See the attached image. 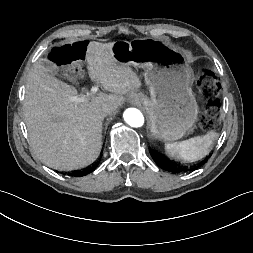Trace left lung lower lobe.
<instances>
[{
    "instance_id": "1",
    "label": "left lung lower lobe",
    "mask_w": 253,
    "mask_h": 253,
    "mask_svg": "<svg viewBox=\"0 0 253 253\" xmlns=\"http://www.w3.org/2000/svg\"><path fill=\"white\" fill-rule=\"evenodd\" d=\"M151 155H152L154 161L156 162V164H157L160 168H162V169H164V170H167V171L173 172V173H180V172L185 171V168H182V167H180V166H177L176 164L170 162V161H169L168 159H166V158H163V157H161V156H159V155H157V154H155V153H151ZM203 164H204V162H201V163L198 165V167L201 166V165H203ZM193 169H195V168H191L190 170H193Z\"/></svg>"
}]
</instances>
